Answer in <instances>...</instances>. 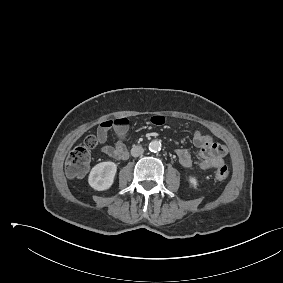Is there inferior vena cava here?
I'll return each mask as SVG.
<instances>
[{
  "label": "inferior vena cava",
  "mask_w": 283,
  "mask_h": 283,
  "mask_svg": "<svg viewBox=\"0 0 283 283\" xmlns=\"http://www.w3.org/2000/svg\"><path fill=\"white\" fill-rule=\"evenodd\" d=\"M144 152V149L141 146H133L131 149V155L133 157H138L142 155Z\"/></svg>",
  "instance_id": "inferior-vena-cava-1"
}]
</instances>
